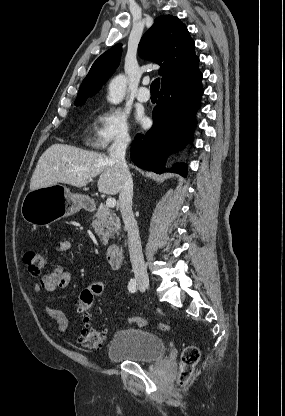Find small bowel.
Returning <instances> with one entry per match:
<instances>
[{"mask_svg": "<svg viewBox=\"0 0 285 416\" xmlns=\"http://www.w3.org/2000/svg\"><path fill=\"white\" fill-rule=\"evenodd\" d=\"M71 248V242L67 239L59 241L57 244V251L66 252ZM71 283V274L69 271L58 266L51 272L41 277L38 283L34 285V291L39 293L42 291L54 292L61 289H66ZM46 313L55 320L56 332L62 336L72 335L69 333L67 320L65 315L59 310L45 307Z\"/></svg>", "mask_w": 285, "mask_h": 416, "instance_id": "1", "label": "small bowel"}]
</instances>
